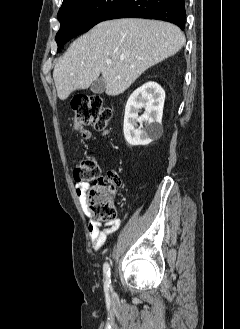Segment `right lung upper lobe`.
Returning a JSON list of instances; mask_svg holds the SVG:
<instances>
[{
	"label": "right lung upper lobe",
	"instance_id": "obj_1",
	"mask_svg": "<svg viewBox=\"0 0 240 329\" xmlns=\"http://www.w3.org/2000/svg\"><path fill=\"white\" fill-rule=\"evenodd\" d=\"M71 1H73V0H64L62 6L68 4V3L71 2ZM62 6H61V7H62Z\"/></svg>",
	"mask_w": 240,
	"mask_h": 329
}]
</instances>
